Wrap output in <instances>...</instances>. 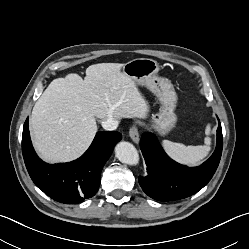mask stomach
I'll use <instances>...</instances> for the list:
<instances>
[{
    "mask_svg": "<svg viewBox=\"0 0 249 249\" xmlns=\"http://www.w3.org/2000/svg\"><path fill=\"white\" fill-rule=\"evenodd\" d=\"M159 64L148 58H136L122 67V72L130 77L135 84L145 86L160 101L159 112L152 115V127L165 136L176 125L177 116L174 113L177 95L171 82L158 76Z\"/></svg>",
    "mask_w": 249,
    "mask_h": 249,
    "instance_id": "obj_1",
    "label": "stomach"
}]
</instances>
